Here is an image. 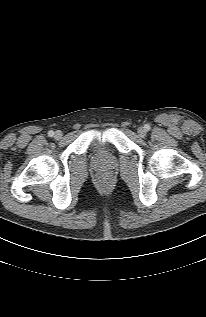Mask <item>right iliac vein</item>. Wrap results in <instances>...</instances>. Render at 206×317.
Masks as SVG:
<instances>
[{"instance_id":"right-iliac-vein-1","label":"right iliac vein","mask_w":206,"mask_h":317,"mask_svg":"<svg viewBox=\"0 0 206 317\" xmlns=\"http://www.w3.org/2000/svg\"><path fill=\"white\" fill-rule=\"evenodd\" d=\"M62 136H63V134H62V132L59 131V130L56 131L55 134H54V137H55V139H57V140L61 139Z\"/></svg>"}]
</instances>
